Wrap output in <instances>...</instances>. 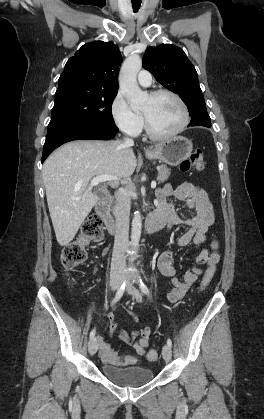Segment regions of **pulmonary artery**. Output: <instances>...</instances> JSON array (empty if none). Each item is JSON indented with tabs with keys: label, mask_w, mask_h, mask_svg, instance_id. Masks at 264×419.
<instances>
[{
	"label": "pulmonary artery",
	"mask_w": 264,
	"mask_h": 419,
	"mask_svg": "<svg viewBox=\"0 0 264 419\" xmlns=\"http://www.w3.org/2000/svg\"><path fill=\"white\" fill-rule=\"evenodd\" d=\"M138 83L141 86L148 87L151 85L152 77L147 70H141L137 77Z\"/></svg>",
	"instance_id": "pulmonary-artery-1"
}]
</instances>
